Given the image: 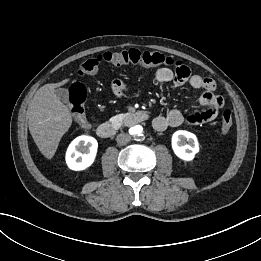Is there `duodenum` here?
<instances>
[{
    "instance_id": "duodenum-1",
    "label": "duodenum",
    "mask_w": 261,
    "mask_h": 261,
    "mask_svg": "<svg viewBox=\"0 0 261 261\" xmlns=\"http://www.w3.org/2000/svg\"><path fill=\"white\" fill-rule=\"evenodd\" d=\"M147 119H148V114L146 112L136 111V112H132V113L128 114L125 117L124 124L126 126H133V125L139 124L141 122H144ZM116 131H117L116 126L111 123H108V122L100 124L96 130L97 135L103 139H108V138L113 137L115 135Z\"/></svg>"
}]
</instances>
